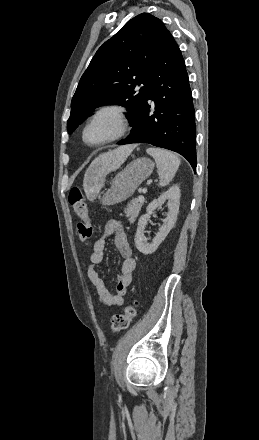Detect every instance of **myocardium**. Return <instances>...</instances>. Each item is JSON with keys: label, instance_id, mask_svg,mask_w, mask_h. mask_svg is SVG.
I'll list each match as a JSON object with an SVG mask.
<instances>
[{"label": "myocardium", "instance_id": "myocardium-1", "mask_svg": "<svg viewBox=\"0 0 259 440\" xmlns=\"http://www.w3.org/2000/svg\"><path fill=\"white\" fill-rule=\"evenodd\" d=\"M111 116L114 118L116 125H117V130L116 132L102 140L99 142H89L86 140L85 134H86V130L88 129V127L99 117L101 116ZM130 129V118H129V111L127 109L126 106L122 105V104H118V103H111V104H106L103 105L99 108H97L95 111H93L85 120L82 128H81V132H80V137H81V141L89 147H100V146H104L107 144H110L112 142L118 141L119 139H121L122 137H124L127 132Z\"/></svg>", "mask_w": 259, "mask_h": 440}]
</instances>
